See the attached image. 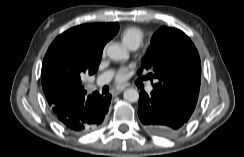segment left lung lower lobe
I'll list each match as a JSON object with an SVG mask.
<instances>
[{
  "mask_svg": "<svg viewBox=\"0 0 244 157\" xmlns=\"http://www.w3.org/2000/svg\"><path fill=\"white\" fill-rule=\"evenodd\" d=\"M138 116L150 133L171 138L187 126L192 115L178 108L164 94L154 89L151 95L140 93Z\"/></svg>",
  "mask_w": 244,
  "mask_h": 157,
  "instance_id": "0a47b994",
  "label": "left lung lower lobe"
}]
</instances>
